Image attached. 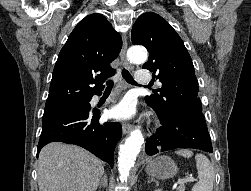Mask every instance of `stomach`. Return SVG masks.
I'll list each match as a JSON object with an SVG mask.
<instances>
[{
	"label": "stomach",
	"mask_w": 251,
	"mask_h": 191,
	"mask_svg": "<svg viewBox=\"0 0 251 191\" xmlns=\"http://www.w3.org/2000/svg\"><path fill=\"white\" fill-rule=\"evenodd\" d=\"M146 171L151 177L166 179V177L176 175L178 167L168 155H158V157L149 161L148 165H146Z\"/></svg>",
	"instance_id": "1"
}]
</instances>
